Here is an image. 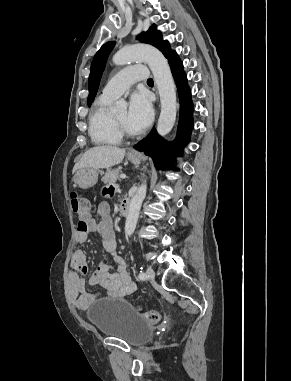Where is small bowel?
Masks as SVG:
<instances>
[{"label": "small bowel", "mask_w": 291, "mask_h": 381, "mask_svg": "<svg viewBox=\"0 0 291 381\" xmlns=\"http://www.w3.org/2000/svg\"><path fill=\"white\" fill-rule=\"evenodd\" d=\"M96 213L99 221L91 219L86 230H81V225L78 224L75 243L82 244L88 240L91 233L98 234L105 251L113 256L115 271L111 272V265L102 262L90 277L89 282L92 286L99 287L111 298L129 295L135 291L136 285L127 270L124 259L116 255V239L108 204L100 203ZM71 265L73 271L68 274L69 293L77 309L86 310L97 298V294L87 292L85 279L81 276L89 270L86 254L82 250L76 249Z\"/></svg>", "instance_id": "c3829d8e"}]
</instances>
